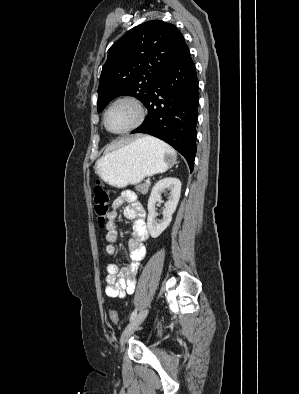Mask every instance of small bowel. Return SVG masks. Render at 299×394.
I'll list each match as a JSON object with an SVG mask.
<instances>
[{
	"label": "small bowel",
	"mask_w": 299,
	"mask_h": 394,
	"mask_svg": "<svg viewBox=\"0 0 299 394\" xmlns=\"http://www.w3.org/2000/svg\"><path fill=\"white\" fill-rule=\"evenodd\" d=\"M123 204H127L123 211L125 218L133 221L132 237L128 241L129 262L121 268L116 263L108 264L106 293L110 297H124L134 292L136 272L146 254L145 241L148 238L146 212L137 195L130 190L123 191L111 205L105 226L108 242L105 251L111 256L116 253L114 243L119 239L117 217L118 210Z\"/></svg>",
	"instance_id": "obj_1"
}]
</instances>
